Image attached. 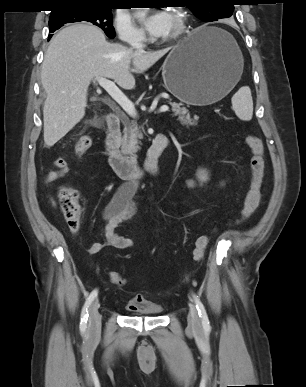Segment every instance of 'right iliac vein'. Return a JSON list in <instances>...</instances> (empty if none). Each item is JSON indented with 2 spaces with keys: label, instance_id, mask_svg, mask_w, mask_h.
Instances as JSON below:
<instances>
[{
  "label": "right iliac vein",
  "instance_id": "obj_1",
  "mask_svg": "<svg viewBox=\"0 0 306 387\" xmlns=\"http://www.w3.org/2000/svg\"><path fill=\"white\" fill-rule=\"evenodd\" d=\"M101 329V316L99 313V302L95 300L89 308L88 332L93 337L99 335Z\"/></svg>",
  "mask_w": 306,
  "mask_h": 387
}]
</instances>
